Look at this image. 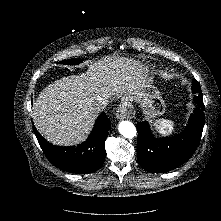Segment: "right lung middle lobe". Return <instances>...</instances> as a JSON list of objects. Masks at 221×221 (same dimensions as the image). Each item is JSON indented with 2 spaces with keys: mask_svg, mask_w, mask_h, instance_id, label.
<instances>
[{
  "mask_svg": "<svg viewBox=\"0 0 221 221\" xmlns=\"http://www.w3.org/2000/svg\"><path fill=\"white\" fill-rule=\"evenodd\" d=\"M80 62H82L81 59H71V60L60 61L59 64L76 65Z\"/></svg>",
  "mask_w": 221,
  "mask_h": 221,
  "instance_id": "dd1d6c3e",
  "label": "right lung middle lobe"
}]
</instances>
